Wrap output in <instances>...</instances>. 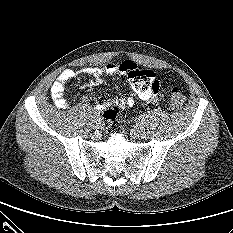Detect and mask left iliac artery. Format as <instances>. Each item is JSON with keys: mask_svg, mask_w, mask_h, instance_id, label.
Segmentation results:
<instances>
[{"mask_svg": "<svg viewBox=\"0 0 233 233\" xmlns=\"http://www.w3.org/2000/svg\"><path fill=\"white\" fill-rule=\"evenodd\" d=\"M139 120L143 121L144 120V115H140Z\"/></svg>", "mask_w": 233, "mask_h": 233, "instance_id": "left-iliac-artery-1", "label": "left iliac artery"}]
</instances>
